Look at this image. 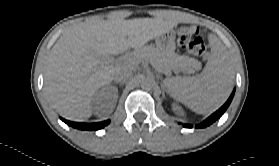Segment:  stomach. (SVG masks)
Here are the masks:
<instances>
[{"instance_id":"0dacf381","label":"stomach","mask_w":279,"mask_h":166,"mask_svg":"<svg viewBox=\"0 0 279 166\" xmlns=\"http://www.w3.org/2000/svg\"><path fill=\"white\" fill-rule=\"evenodd\" d=\"M156 46L163 52L173 53L175 50V33L173 30L167 31L156 37Z\"/></svg>"}]
</instances>
